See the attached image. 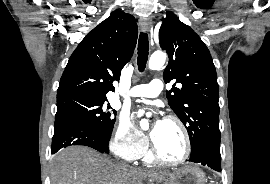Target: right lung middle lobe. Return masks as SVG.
<instances>
[{"instance_id": "1", "label": "right lung middle lobe", "mask_w": 270, "mask_h": 184, "mask_svg": "<svg viewBox=\"0 0 270 184\" xmlns=\"http://www.w3.org/2000/svg\"><path fill=\"white\" fill-rule=\"evenodd\" d=\"M106 99L91 96L71 95L57 98L55 122L75 120L91 126L106 137H111L116 114L111 107L105 106Z\"/></svg>"}]
</instances>
